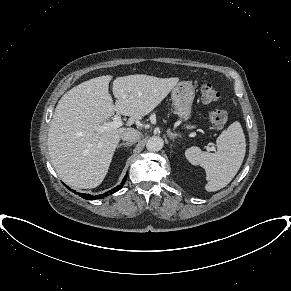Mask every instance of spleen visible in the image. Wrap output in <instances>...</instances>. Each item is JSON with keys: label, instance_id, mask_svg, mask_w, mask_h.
<instances>
[{"label": "spleen", "instance_id": "spleen-1", "mask_svg": "<svg viewBox=\"0 0 291 291\" xmlns=\"http://www.w3.org/2000/svg\"><path fill=\"white\" fill-rule=\"evenodd\" d=\"M215 153L202 152L193 146L185 151L192 165H200L206 171V191H218L227 186L240 169L246 153V139L238 121L232 123L216 140Z\"/></svg>", "mask_w": 291, "mask_h": 291}]
</instances>
